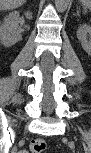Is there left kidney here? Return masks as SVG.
Listing matches in <instances>:
<instances>
[{
    "label": "left kidney",
    "mask_w": 91,
    "mask_h": 153,
    "mask_svg": "<svg viewBox=\"0 0 91 153\" xmlns=\"http://www.w3.org/2000/svg\"><path fill=\"white\" fill-rule=\"evenodd\" d=\"M91 32V27L87 24L81 25L77 30V38L80 40L83 49L90 54L91 44L87 41V34Z\"/></svg>",
    "instance_id": "1"
}]
</instances>
